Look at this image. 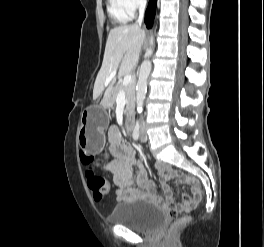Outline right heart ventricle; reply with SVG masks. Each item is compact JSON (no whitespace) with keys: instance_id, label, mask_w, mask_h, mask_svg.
Masks as SVG:
<instances>
[{"instance_id":"e07e8e85","label":"right heart ventricle","mask_w":264,"mask_h":247,"mask_svg":"<svg viewBox=\"0 0 264 247\" xmlns=\"http://www.w3.org/2000/svg\"><path fill=\"white\" fill-rule=\"evenodd\" d=\"M109 12L114 20L121 23L128 21L132 16L120 6L117 0H110Z\"/></svg>"}]
</instances>
